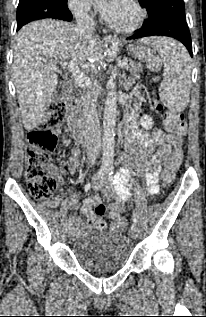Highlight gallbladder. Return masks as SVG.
Here are the masks:
<instances>
[{
	"mask_svg": "<svg viewBox=\"0 0 206 317\" xmlns=\"http://www.w3.org/2000/svg\"><path fill=\"white\" fill-rule=\"evenodd\" d=\"M69 87H70V84L67 81L62 82L57 87V89L53 92L52 100L55 102L60 101L63 98L65 92L69 89Z\"/></svg>",
	"mask_w": 206,
	"mask_h": 317,
	"instance_id": "1",
	"label": "gallbladder"
}]
</instances>
